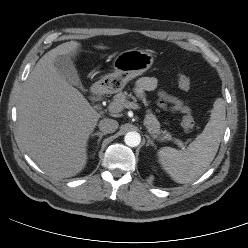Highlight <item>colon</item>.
Instances as JSON below:
<instances>
[{
	"label": "colon",
	"instance_id": "colon-1",
	"mask_svg": "<svg viewBox=\"0 0 248 248\" xmlns=\"http://www.w3.org/2000/svg\"><path fill=\"white\" fill-rule=\"evenodd\" d=\"M177 82H178V86L182 90H188L190 88V80L185 75H179ZM181 125L185 131H187V132L192 131L194 129V125H195V122H194L192 115L186 114L182 118Z\"/></svg>",
	"mask_w": 248,
	"mask_h": 248
}]
</instances>
